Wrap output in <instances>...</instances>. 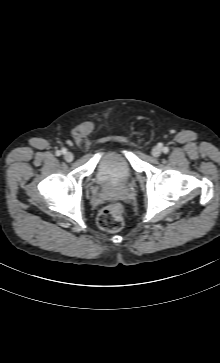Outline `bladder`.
Masks as SVG:
<instances>
[{"mask_svg": "<svg viewBox=\"0 0 220 363\" xmlns=\"http://www.w3.org/2000/svg\"><path fill=\"white\" fill-rule=\"evenodd\" d=\"M134 175L128 157L118 148L111 147L101 156L95 171V181L99 185H124Z\"/></svg>", "mask_w": 220, "mask_h": 363, "instance_id": "bladder-1", "label": "bladder"}]
</instances>
